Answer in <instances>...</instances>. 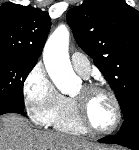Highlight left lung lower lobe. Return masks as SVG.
<instances>
[{"label": "left lung lower lobe", "mask_w": 139, "mask_h": 150, "mask_svg": "<svg viewBox=\"0 0 139 150\" xmlns=\"http://www.w3.org/2000/svg\"><path fill=\"white\" fill-rule=\"evenodd\" d=\"M98 141L139 150V102H135L129 108L126 116H124V123L116 135L107 136Z\"/></svg>", "instance_id": "1"}]
</instances>
